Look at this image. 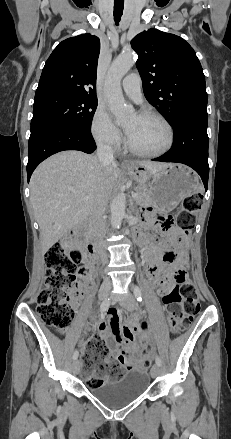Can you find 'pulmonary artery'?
<instances>
[{"label":"pulmonary artery","instance_id":"e3ab8cb5","mask_svg":"<svg viewBox=\"0 0 231 439\" xmlns=\"http://www.w3.org/2000/svg\"><path fill=\"white\" fill-rule=\"evenodd\" d=\"M122 87L125 93L136 102H140L142 98L141 83L138 74L133 73L124 77Z\"/></svg>","mask_w":231,"mask_h":439}]
</instances>
